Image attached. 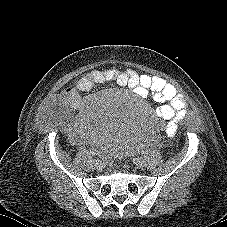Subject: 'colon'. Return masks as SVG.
Masks as SVG:
<instances>
[{
  "mask_svg": "<svg viewBox=\"0 0 227 227\" xmlns=\"http://www.w3.org/2000/svg\"><path fill=\"white\" fill-rule=\"evenodd\" d=\"M175 130L178 134L180 135H185L189 132L190 127L187 123L185 122H180L176 125Z\"/></svg>",
  "mask_w": 227,
  "mask_h": 227,
  "instance_id": "1",
  "label": "colon"
}]
</instances>
